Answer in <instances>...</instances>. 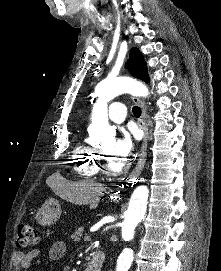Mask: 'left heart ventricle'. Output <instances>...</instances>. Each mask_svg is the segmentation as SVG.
<instances>
[{
    "label": "left heart ventricle",
    "mask_w": 221,
    "mask_h": 271,
    "mask_svg": "<svg viewBox=\"0 0 221 271\" xmlns=\"http://www.w3.org/2000/svg\"><path fill=\"white\" fill-rule=\"evenodd\" d=\"M106 165H109V168H122L120 160H106Z\"/></svg>",
    "instance_id": "1"
}]
</instances>
